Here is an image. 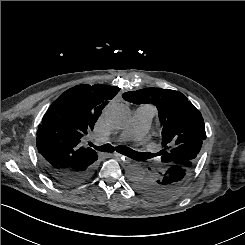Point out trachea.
<instances>
[{
	"instance_id": "3493384b",
	"label": "trachea",
	"mask_w": 245,
	"mask_h": 245,
	"mask_svg": "<svg viewBox=\"0 0 245 245\" xmlns=\"http://www.w3.org/2000/svg\"><path fill=\"white\" fill-rule=\"evenodd\" d=\"M92 147H94L96 150L102 151V152H114L115 150L127 157H130L132 159H138L140 154L137 151L132 150L129 147L126 146H117V147H113L110 144H105L102 146H95L93 144H91Z\"/></svg>"
}]
</instances>
